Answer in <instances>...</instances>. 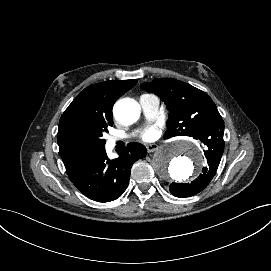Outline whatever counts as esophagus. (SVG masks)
<instances>
[{
    "instance_id": "obj_1",
    "label": "esophagus",
    "mask_w": 271,
    "mask_h": 271,
    "mask_svg": "<svg viewBox=\"0 0 271 271\" xmlns=\"http://www.w3.org/2000/svg\"><path fill=\"white\" fill-rule=\"evenodd\" d=\"M147 152L151 153V152H155L156 150H158V145L155 143L152 144H148L146 146Z\"/></svg>"
}]
</instances>
